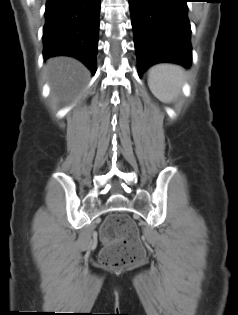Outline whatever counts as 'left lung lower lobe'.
Instances as JSON below:
<instances>
[{"mask_svg":"<svg viewBox=\"0 0 238 315\" xmlns=\"http://www.w3.org/2000/svg\"><path fill=\"white\" fill-rule=\"evenodd\" d=\"M188 0H129L141 77L160 62L189 67L192 61Z\"/></svg>","mask_w":238,"mask_h":315,"instance_id":"left-lung-lower-lobe-1","label":"left lung lower lobe"}]
</instances>
